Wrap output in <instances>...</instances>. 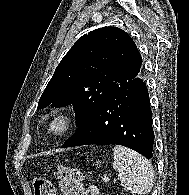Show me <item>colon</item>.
<instances>
[{"mask_svg":"<svg viewBox=\"0 0 189 195\" xmlns=\"http://www.w3.org/2000/svg\"><path fill=\"white\" fill-rule=\"evenodd\" d=\"M59 185L63 195H85L80 172L59 166L56 169ZM35 195H56L52 182L45 177H36L33 182Z\"/></svg>","mask_w":189,"mask_h":195,"instance_id":"5ec220e1","label":"colon"}]
</instances>
